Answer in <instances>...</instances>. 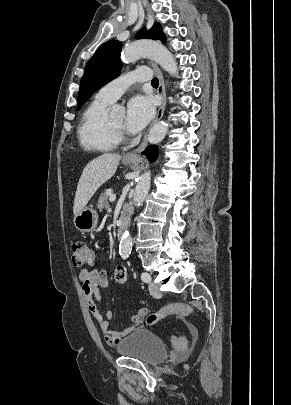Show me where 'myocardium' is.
<instances>
[{"label": "myocardium", "mask_w": 291, "mask_h": 405, "mask_svg": "<svg viewBox=\"0 0 291 405\" xmlns=\"http://www.w3.org/2000/svg\"><path fill=\"white\" fill-rule=\"evenodd\" d=\"M108 123H109V128H110L113 136L115 137V139L118 142L128 140V136L123 128H118V127L114 126L110 121H108Z\"/></svg>", "instance_id": "myocardium-1"}]
</instances>
